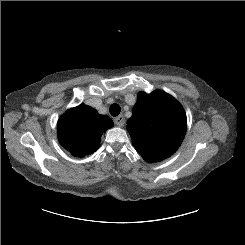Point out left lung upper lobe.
<instances>
[{
  "mask_svg": "<svg viewBox=\"0 0 245 245\" xmlns=\"http://www.w3.org/2000/svg\"><path fill=\"white\" fill-rule=\"evenodd\" d=\"M126 128L136 151L147 162H159L181 145L186 114L180 103L163 91L139 92Z\"/></svg>",
  "mask_w": 245,
  "mask_h": 245,
  "instance_id": "left-lung-upper-lobe-1",
  "label": "left lung upper lobe"
}]
</instances>
